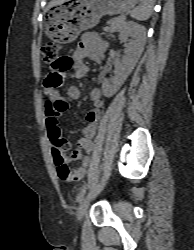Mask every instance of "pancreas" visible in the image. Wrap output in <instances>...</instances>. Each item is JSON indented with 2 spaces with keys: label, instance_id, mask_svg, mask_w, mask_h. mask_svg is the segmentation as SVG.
<instances>
[{
  "label": "pancreas",
  "instance_id": "pancreas-1",
  "mask_svg": "<svg viewBox=\"0 0 194 250\" xmlns=\"http://www.w3.org/2000/svg\"><path fill=\"white\" fill-rule=\"evenodd\" d=\"M108 27H104V31H110V32H116V31H120L125 23L124 21L120 18V17H115L110 19L108 22Z\"/></svg>",
  "mask_w": 194,
  "mask_h": 250
}]
</instances>
